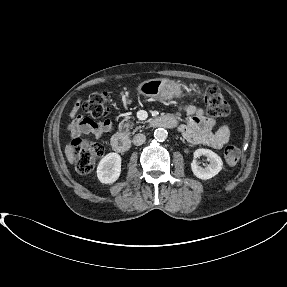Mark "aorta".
<instances>
[{
    "label": "aorta",
    "instance_id": "762f6f07",
    "mask_svg": "<svg viewBox=\"0 0 287 287\" xmlns=\"http://www.w3.org/2000/svg\"><path fill=\"white\" fill-rule=\"evenodd\" d=\"M154 137L157 141H165L168 137V132L164 128H158L154 131Z\"/></svg>",
    "mask_w": 287,
    "mask_h": 287
}]
</instances>
